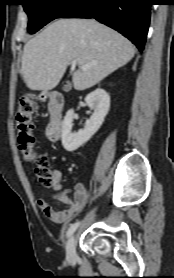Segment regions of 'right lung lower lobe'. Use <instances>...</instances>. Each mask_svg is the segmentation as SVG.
Masks as SVG:
<instances>
[{"instance_id":"obj_1","label":"right lung lower lobe","mask_w":174,"mask_h":278,"mask_svg":"<svg viewBox=\"0 0 174 278\" xmlns=\"http://www.w3.org/2000/svg\"><path fill=\"white\" fill-rule=\"evenodd\" d=\"M152 0H78L61 17L95 18L119 31L142 51Z\"/></svg>"}]
</instances>
